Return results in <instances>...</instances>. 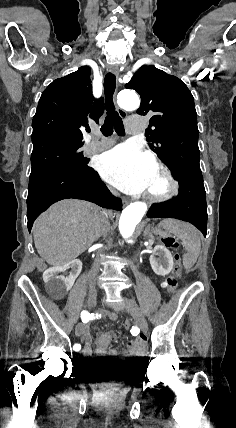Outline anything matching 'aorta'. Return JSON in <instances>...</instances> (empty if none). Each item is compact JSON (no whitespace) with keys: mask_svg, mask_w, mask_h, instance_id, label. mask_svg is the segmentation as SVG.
I'll list each match as a JSON object with an SVG mask.
<instances>
[{"mask_svg":"<svg viewBox=\"0 0 236 428\" xmlns=\"http://www.w3.org/2000/svg\"><path fill=\"white\" fill-rule=\"evenodd\" d=\"M118 104L127 111L135 110L140 105L138 95L133 90H122L118 94ZM147 205L143 202H134L128 205L121 213L119 219V231L128 243H134L131 239L136 226L147 211Z\"/></svg>","mask_w":236,"mask_h":428,"instance_id":"1","label":"aorta"}]
</instances>
